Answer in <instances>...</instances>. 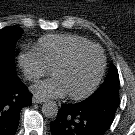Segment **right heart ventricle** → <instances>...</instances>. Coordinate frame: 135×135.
Listing matches in <instances>:
<instances>
[{
    "label": "right heart ventricle",
    "instance_id": "obj_1",
    "mask_svg": "<svg viewBox=\"0 0 135 135\" xmlns=\"http://www.w3.org/2000/svg\"><path fill=\"white\" fill-rule=\"evenodd\" d=\"M91 44L87 39L69 34H49L41 37L35 50L46 65H53L76 47Z\"/></svg>",
    "mask_w": 135,
    "mask_h": 135
}]
</instances>
